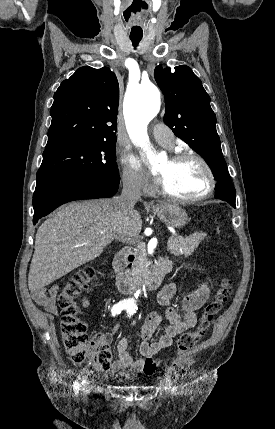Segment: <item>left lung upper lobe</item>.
I'll return each instance as SVG.
<instances>
[{
	"label": "left lung upper lobe",
	"mask_w": 275,
	"mask_h": 429,
	"mask_svg": "<svg viewBox=\"0 0 275 429\" xmlns=\"http://www.w3.org/2000/svg\"><path fill=\"white\" fill-rule=\"evenodd\" d=\"M157 66L155 80L166 100L164 122L174 134L185 141L209 164L216 184V194L235 204L236 191L224 160L220 138L216 131V116L210 106V97L201 80L190 67Z\"/></svg>",
	"instance_id": "1"
}]
</instances>
